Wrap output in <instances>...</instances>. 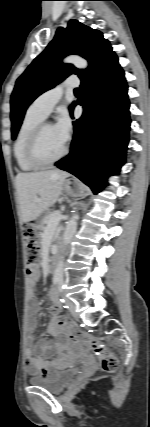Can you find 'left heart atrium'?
<instances>
[{"label": "left heart atrium", "instance_id": "1", "mask_svg": "<svg viewBox=\"0 0 150 427\" xmlns=\"http://www.w3.org/2000/svg\"><path fill=\"white\" fill-rule=\"evenodd\" d=\"M54 127L63 142L67 143L72 133V123L68 114L62 113Z\"/></svg>", "mask_w": 150, "mask_h": 427}]
</instances>
